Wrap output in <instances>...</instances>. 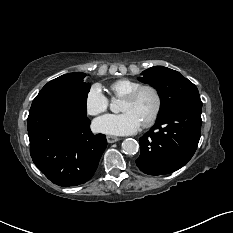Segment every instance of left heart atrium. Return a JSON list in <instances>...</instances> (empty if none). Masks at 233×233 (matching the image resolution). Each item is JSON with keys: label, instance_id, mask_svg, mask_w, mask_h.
<instances>
[{"label": "left heart atrium", "instance_id": "obj_1", "mask_svg": "<svg viewBox=\"0 0 233 233\" xmlns=\"http://www.w3.org/2000/svg\"><path fill=\"white\" fill-rule=\"evenodd\" d=\"M142 125L140 119L131 111L120 114H106L93 122L95 131L108 135H128L136 132Z\"/></svg>", "mask_w": 233, "mask_h": 233}]
</instances>
